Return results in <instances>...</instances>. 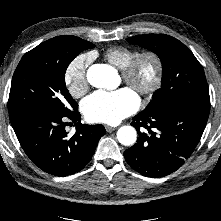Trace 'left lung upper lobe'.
<instances>
[{"label":"left lung upper lobe","mask_w":221,"mask_h":221,"mask_svg":"<svg viewBox=\"0 0 221 221\" xmlns=\"http://www.w3.org/2000/svg\"><path fill=\"white\" fill-rule=\"evenodd\" d=\"M156 53L162 63V87L143 110L153 112L165 104L186 97L210 101L203 68L193 53L176 38L166 34L136 35L127 39Z\"/></svg>","instance_id":"1"}]
</instances>
